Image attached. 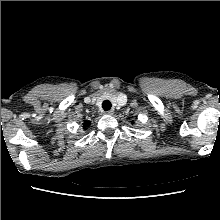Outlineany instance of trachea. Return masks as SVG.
I'll return each mask as SVG.
<instances>
[{
  "label": "trachea",
  "instance_id": "obj_1",
  "mask_svg": "<svg viewBox=\"0 0 220 220\" xmlns=\"http://www.w3.org/2000/svg\"><path fill=\"white\" fill-rule=\"evenodd\" d=\"M102 107L105 111H108L111 109L112 107V104L109 100H105L103 103H102Z\"/></svg>",
  "mask_w": 220,
  "mask_h": 220
}]
</instances>
